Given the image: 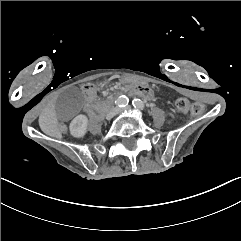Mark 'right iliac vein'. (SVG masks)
<instances>
[{"mask_svg":"<svg viewBox=\"0 0 241 241\" xmlns=\"http://www.w3.org/2000/svg\"><path fill=\"white\" fill-rule=\"evenodd\" d=\"M118 109H113L109 114H107L106 119L111 120L114 115L117 113Z\"/></svg>","mask_w":241,"mask_h":241,"instance_id":"obj_1","label":"right iliac vein"}]
</instances>
